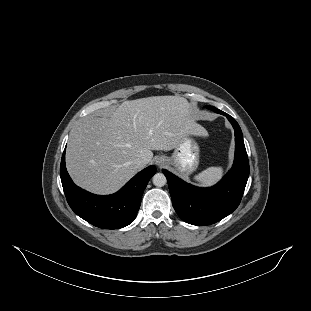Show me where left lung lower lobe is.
Instances as JSON below:
<instances>
[{
	"instance_id": "1",
	"label": "left lung lower lobe",
	"mask_w": 311,
	"mask_h": 311,
	"mask_svg": "<svg viewBox=\"0 0 311 311\" xmlns=\"http://www.w3.org/2000/svg\"><path fill=\"white\" fill-rule=\"evenodd\" d=\"M235 132V158L232 169L215 186L198 188L163 169L172 204L178 216L193 225H210L231 214L239 205L249 176V161L243 135L236 120L225 112Z\"/></svg>"
}]
</instances>
